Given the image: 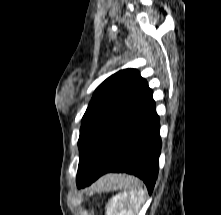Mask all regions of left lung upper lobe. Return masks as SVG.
<instances>
[{
  "label": "left lung upper lobe",
  "instance_id": "left-lung-upper-lobe-1",
  "mask_svg": "<svg viewBox=\"0 0 221 215\" xmlns=\"http://www.w3.org/2000/svg\"><path fill=\"white\" fill-rule=\"evenodd\" d=\"M147 82L135 69H124L108 77L95 90L82 118L78 147L77 181L90 170L115 119L143 92Z\"/></svg>",
  "mask_w": 221,
  "mask_h": 215
}]
</instances>
